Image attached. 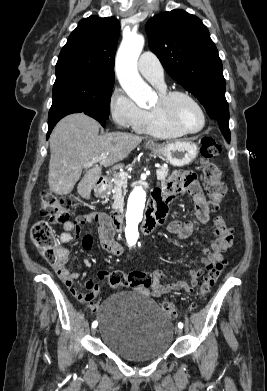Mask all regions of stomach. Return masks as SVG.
Here are the masks:
<instances>
[{
    "label": "stomach",
    "mask_w": 267,
    "mask_h": 391,
    "mask_svg": "<svg viewBox=\"0 0 267 391\" xmlns=\"http://www.w3.org/2000/svg\"><path fill=\"white\" fill-rule=\"evenodd\" d=\"M149 149L164 157L175 167L191 164L196 159L199 151L197 144L189 140H181L170 144H152ZM95 192L97 196H102L105 193V188L99 187Z\"/></svg>",
    "instance_id": "obj_1"
}]
</instances>
